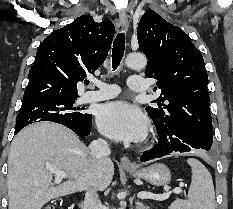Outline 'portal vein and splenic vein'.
Here are the masks:
<instances>
[{
    "label": "portal vein and splenic vein",
    "mask_w": 233,
    "mask_h": 209,
    "mask_svg": "<svg viewBox=\"0 0 233 209\" xmlns=\"http://www.w3.org/2000/svg\"><path fill=\"white\" fill-rule=\"evenodd\" d=\"M47 169L55 174V181H54L55 184H59L62 181V179L67 177V174L64 171H62V170H60V169H58L56 167L48 165ZM172 192L175 193V194H180L182 192V189L181 188H175V189H173V191H169V192L159 194V195L152 194L150 192H140L138 194V198L163 201V200L168 199V197L170 196V194Z\"/></svg>",
    "instance_id": "1"
}]
</instances>
